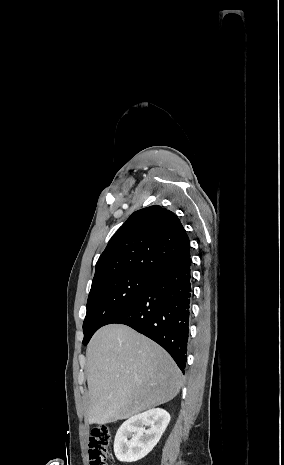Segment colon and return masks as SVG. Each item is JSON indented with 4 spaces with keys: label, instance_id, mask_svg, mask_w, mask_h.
<instances>
[{
    "label": "colon",
    "instance_id": "5ec220e1",
    "mask_svg": "<svg viewBox=\"0 0 284 465\" xmlns=\"http://www.w3.org/2000/svg\"><path fill=\"white\" fill-rule=\"evenodd\" d=\"M108 428H93L88 437L89 465H106V447L111 439Z\"/></svg>",
    "mask_w": 284,
    "mask_h": 465
}]
</instances>
